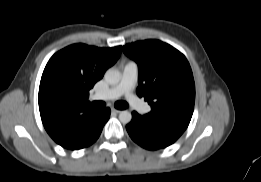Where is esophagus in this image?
<instances>
[{
	"label": "esophagus",
	"instance_id": "34e87169",
	"mask_svg": "<svg viewBox=\"0 0 261 182\" xmlns=\"http://www.w3.org/2000/svg\"><path fill=\"white\" fill-rule=\"evenodd\" d=\"M111 111H112L113 113H116V114H118V113L121 112V110H119V109H115V108H112Z\"/></svg>",
	"mask_w": 261,
	"mask_h": 182
}]
</instances>
